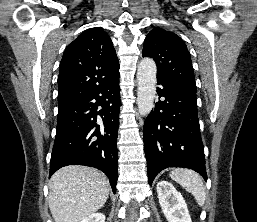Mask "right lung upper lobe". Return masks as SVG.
<instances>
[{"label": "right lung upper lobe", "mask_w": 257, "mask_h": 222, "mask_svg": "<svg viewBox=\"0 0 257 222\" xmlns=\"http://www.w3.org/2000/svg\"><path fill=\"white\" fill-rule=\"evenodd\" d=\"M113 43L105 31L91 28L64 51L58 76V105L65 107L94 92L119 71Z\"/></svg>", "instance_id": "right-lung-upper-lobe-1"}]
</instances>
